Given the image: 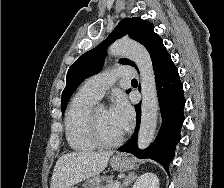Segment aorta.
I'll list each match as a JSON object with an SVG mask.
<instances>
[{
	"instance_id": "1",
	"label": "aorta",
	"mask_w": 224,
	"mask_h": 188,
	"mask_svg": "<svg viewBox=\"0 0 224 188\" xmlns=\"http://www.w3.org/2000/svg\"><path fill=\"white\" fill-rule=\"evenodd\" d=\"M112 56H126L137 65L141 78V124L138 148L146 149L153 141L158 115V97L152 60L145 47L130 39H120L109 48Z\"/></svg>"
}]
</instances>
